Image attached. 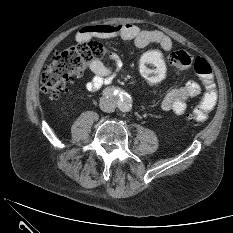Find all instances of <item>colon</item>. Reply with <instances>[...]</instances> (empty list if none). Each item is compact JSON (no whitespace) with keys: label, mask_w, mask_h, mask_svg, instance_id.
<instances>
[{"label":"colon","mask_w":233,"mask_h":233,"mask_svg":"<svg viewBox=\"0 0 233 233\" xmlns=\"http://www.w3.org/2000/svg\"><path fill=\"white\" fill-rule=\"evenodd\" d=\"M104 54L105 47L97 40L80 41L57 52L41 74L42 89L54 97L65 94L74 78L83 74L89 62ZM168 63L178 70L193 65L194 71L202 79L204 95L198 106L188 114V120L193 124L205 122L217 100L210 64L202 57L193 61L192 56L184 50L172 53L167 60L159 49H149L140 59L141 74L150 84L159 83L165 77Z\"/></svg>","instance_id":"colon-1"}]
</instances>
